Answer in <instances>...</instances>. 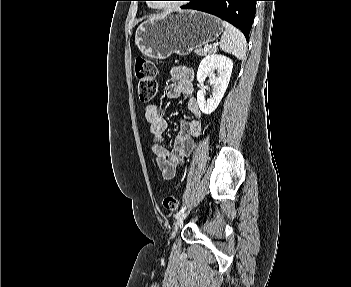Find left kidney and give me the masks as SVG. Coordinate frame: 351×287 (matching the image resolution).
Masks as SVG:
<instances>
[{
  "label": "left kidney",
  "instance_id": "1",
  "mask_svg": "<svg viewBox=\"0 0 351 287\" xmlns=\"http://www.w3.org/2000/svg\"><path fill=\"white\" fill-rule=\"evenodd\" d=\"M232 68V60L224 55L212 53L202 59L197 71V81L203 83L209 77V82L213 85L212 95L207 101L203 90L197 92V103L202 113L210 114L218 107L228 87Z\"/></svg>",
  "mask_w": 351,
  "mask_h": 287
}]
</instances>
